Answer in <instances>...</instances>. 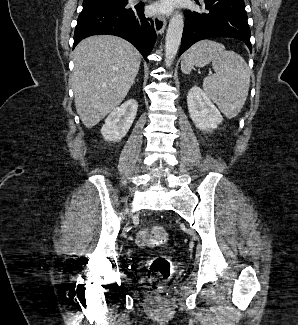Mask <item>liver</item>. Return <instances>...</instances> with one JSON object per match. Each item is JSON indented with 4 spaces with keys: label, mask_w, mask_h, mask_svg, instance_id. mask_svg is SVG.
<instances>
[{
    "label": "liver",
    "mask_w": 298,
    "mask_h": 325,
    "mask_svg": "<svg viewBox=\"0 0 298 325\" xmlns=\"http://www.w3.org/2000/svg\"><path fill=\"white\" fill-rule=\"evenodd\" d=\"M76 110L87 128L117 108L138 74L141 54L133 44L110 34L88 36L73 50Z\"/></svg>",
    "instance_id": "obj_1"
}]
</instances>
